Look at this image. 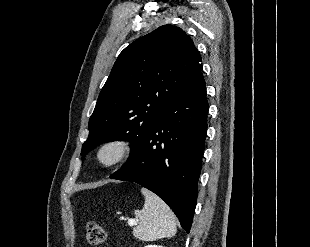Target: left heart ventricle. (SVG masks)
Segmentation results:
<instances>
[{"label":"left heart ventricle","mask_w":310,"mask_h":247,"mask_svg":"<svg viewBox=\"0 0 310 247\" xmlns=\"http://www.w3.org/2000/svg\"><path fill=\"white\" fill-rule=\"evenodd\" d=\"M113 156H114V153L111 152V151H107V152L104 154V158H105L106 160L111 159Z\"/></svg>","instance_id":"b2bd125f"}]
</instances>
